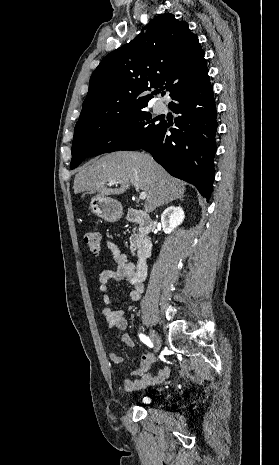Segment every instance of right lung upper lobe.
I'll return each instance as SVG.
<instances>
[{"instance_id":"cb5924a9","label":"right lung upper lobe","mask_w":279,"mask_h":465,"mask_svg":"<svg viewBox=\"0 0 279 465\" xmlns=\"http://www.w3.org/2000/svg\"><path fill=\"white\" fill-rule=\"evenodd\" d=\"M126 45L104 57L91 76L77 125L99 123L108 116L146 107L151 88L174 97L208 77L204 52L185 21L165 13Z\"/></svg>"}]
</instances>
